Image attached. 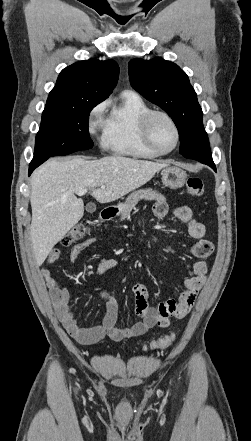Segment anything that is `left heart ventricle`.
Returning a JSON list of instances; mask_svg holds the SVG:
<instances>
[{
  "label": "left heart ventricle",
  "instance_id": "b2bd125f",
  "mask_svg": "<svg viewBox=\"0 0 251 441\" xmlns=\"http://www.w3.org/2000/svg\"><path fill=\"white\" fill-rule=\"evenodd\" d=\"M151 134L154 144L163 151L171 149L175 144V132L164 117L154 119Z\"/></svg>",
  "mask_w": 251,
  "mask_h": 441
}]
</instances>
